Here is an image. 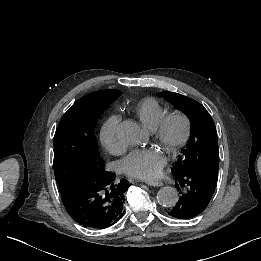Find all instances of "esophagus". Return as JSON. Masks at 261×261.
Returning a JSON list of instances; mask_svg holds the SVG:
<instances>
[{
	"instance_id": "obj_1",
	"label": "esophagus",
	"mask_w": 261,
	"mask_h": 261,
	"mask_svg": "<svg viewBox=\"0 0 261 261\" xmlns=\"http://www.w3.org/2000/svg\"><path fill=\"white\" fill-rule=\"evenodd\" d=\"M145 183L150 186H162L163 182L160 180H145Z\"/></svg>"
}]
</instances>
